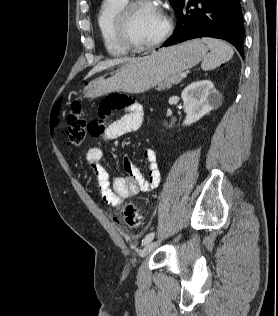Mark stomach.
<instances>
[{
    "instance_id": "stomach-1",
    "label": "stomach",
    "mask_w": 278,
    "mask_h": 316,
    "mask_svg": "<svg viewBox=\"0 0 278 316\" xmlns=\"http://www.w3.org/2000/svg\"><path fill=\"white\" fill-rule=\"evenodd\" d=\"M207 51L208 48L199 39L155 50L89 82L83 89V95L96 98L110 92H145L170 76L194 67Z\"/></svg>"
}]
</instances>
